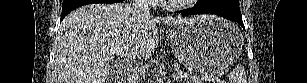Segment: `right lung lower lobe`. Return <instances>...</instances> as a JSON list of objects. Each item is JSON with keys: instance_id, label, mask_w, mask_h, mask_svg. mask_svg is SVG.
<instances>
[{"instance_id": "obj_1", "label": "right lung lower lobe", "mask_w": 307, "mask_h": 83, "mask_svg": "<svg viewBox=\"0 0 307 83\" xmlns=\"http://www.w3.org/2000/svg\"><path fill=\"white\" fill-rule=\"evenodd\" d=\"M122 0H64L62 7L61 20L72 10L88 4H97V3H119Z\"/></svg>"}]
</instances>
